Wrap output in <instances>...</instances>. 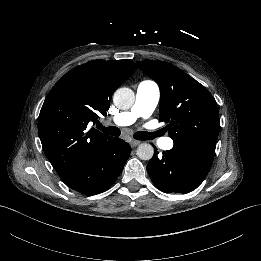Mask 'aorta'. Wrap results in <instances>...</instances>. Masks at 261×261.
<instances>
[{
  "mask_svg": "<svg viewBox=\"0 0 261 261\" xmlns=\"http://www.w3.org/2000/svg\"><path fill=\"white\" fill-rule=\"evenodd\" d=\"M135 102V93L131 88H118L113 95L114 105L122 110H127ZM154 155V149L150 144H141L137 148V156L141 160H150Z\"/></svg>",
  "mask_w": 261,
  "mask_h": 261,
  "instance_id": "1",
  "label": "aorta"
}]
</instances>
